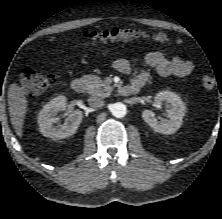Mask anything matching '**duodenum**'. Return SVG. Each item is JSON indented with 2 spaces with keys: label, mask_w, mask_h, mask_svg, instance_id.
<instances>
[{
  "label": "duodenum",
  "mask_w": 222,
  "mask_h": 219,
  "mask_svg": "<svg viewBox=\"0 0 222 219\" xmlns=\"http://www.w3.org/2000/svg\"><path fill=\"white\" fill-rule=\"evenodd\" d=\"M142 84L139 82H133L129 85L121 86L119 93L122 95H133L139 92ZM71 88L75 93H84L86 90V81L83 78H75L71 81Z\"/></svg>",
  "instance_id": "410a0bca"
}]
</instances>
